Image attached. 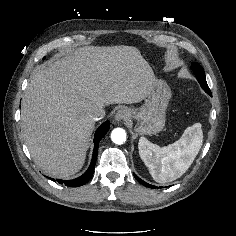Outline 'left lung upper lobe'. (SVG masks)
I'll use <instances>...</instances> for the list:
<instances>
[{"label": "left lung upper lobe", "instance_id": "left-lung-upper-lobe-1", "mask_svg": "<svg viewBox=\"0 0 236 236\" xmlns=\"http://www.w3.org/2000/svg\"><path fill=\"white\" fill-rule=\"evenodd\" d=\"M192 70L194 71L196 78L198 80V82L200 83L201 87L203 88V90L208 93L209 95H211V91L207 85L206 82V77H205V73H204V69L203 67L198 64V63H192Z\"/></svg>", "mask_w": 236, "mask_h": 236}]
</instances>
